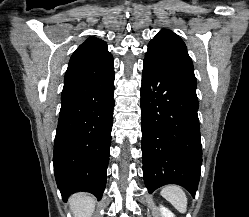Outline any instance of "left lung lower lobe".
I'll return each instance as SVG.
<instances>
[{
    "instance_id": "0a47b994",
    "label": "left lung lower lobe",
    "mask_w": 249,
    "mask_h": 217,
    "mask_svg": "<svg viewBox=\"0 0 249 217\" xmlns=\"http://www.w3.org/2000/svg\"><path fill=\"white\" fill-rule=\"evenodd\" d=\"M196 87L191 79L143 64L142 162L150 193L178 184L195 196L202 164Z\"/></svg>"
}]
</instances>
